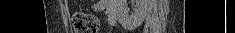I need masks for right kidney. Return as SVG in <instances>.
<instances>
[{
	"mask_svg": "<svg viewBox=\"0 0 235 33\" xmlns=\"http://www.w3.org/2000/svg\"><path fill=\"white\" fill-rule=\"evenodd\" d=\"M135 8L133 12L129 13V10L126 8H123L120 12V19L121 21H132L133 19L142 20L144 19L149 0H135ZM121 5H126V0H120Z\"/></svg>",
	"mask_w": 235,
	"mask_h": 33,
	"instance_id": "1",
	"label": "right kidney"
}]
</instances>
